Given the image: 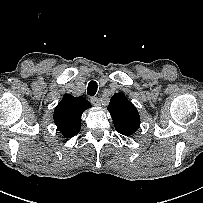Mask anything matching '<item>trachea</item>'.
Returning a JSON list of instances; mask_svg holds the SVG:
<instances>
[{"label": "trachea", "instance_id": "obj_1", "mask_svg": "<svg viewBox=\"0 0 203 203\" xmlns=\"http://www.w3.org/2000/svg\"><path fill=\"white\" fill-rule=\"evenodd\" d=\"M97 88H98V85H97L96 81H91L88 84L87 94L90 96H94L97 92Z\"/></svg>", "mask_w": 203, "mask_h": 203}]
</instances>
